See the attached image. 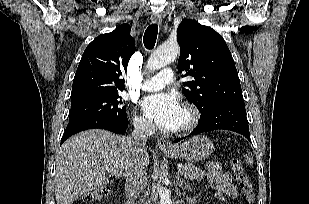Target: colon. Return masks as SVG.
Returning <instances> with one entry per match:
<instances>
[{"label": "colon", "instance_id": "1", "mask_svg": "<svg viewBox=\"0 0 309 204\" xmlns=\"http://www.w3.org/2000/svg\"><path fill=\"white\" fill-rule=\"evenodd\" d=\"M231 166L233 169L234 177L241 188L242 192L245 195L246 201L248 204H251L254 200V187L247 175V172L243 168L240 160L236 157H233L231 160ZM110 194L108 188H101L87 197V201H97L102 200Z\"/></svg>", "mask_w": 309, "mask_h": 204}]
</instances>
